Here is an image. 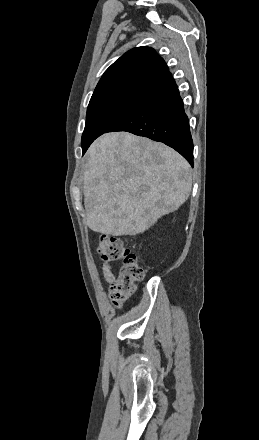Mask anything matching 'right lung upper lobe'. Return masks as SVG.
<instances>
[{
	"mask_svg": "<svg viewBox=\"0 0 259 440\" xmlns=\"http://www.w3.org/2000/svg\"><path fill=\"white\" fill-rule=\"evenodd\" d=\"M168 73L165 61L153 48H133L105 71L91 99L117 91L147 92Z\"/></svg>",
	"mask_w": 259,
	"mask_h": 440,
	"instance_id": "cb5924a9",
	"label": "right lung upper lobe"
}]
</instances>
